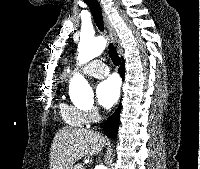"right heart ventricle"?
<instances>
[{"instance_id":"right-heart-ventricle-1","label":"right heart ventricle","mask_w":200,"mask_h":169,"mask_svg":"<svg viewBox=\"0 0 200 169\" xmlns=\"http://www.w3.org/2000/svg\"><path fill=\"white\" fill-rule=\"evenodd\" d=\"M60 113L63 120L74 127H83L85 125V118L82 109L68 105L66 103L60 104Z\"/></svg>"}]
</instances>
